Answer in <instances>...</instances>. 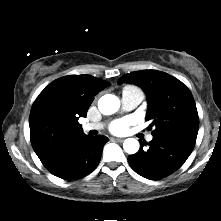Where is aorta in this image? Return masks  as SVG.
<instances>
[{
  "label": "aorta",
  "mask_w": 221,
  "mask_h": 221,
  "mask_svg": "<svg viewBox=\"0 0 221 221\" xmlns=\"http://www.w3.org/2000/svg\"><path fill=\"white\" fill-rule=\"evenodd\" d=\"M120 101L112 94L102 96L98 101V109L104 115H111L118 111ZM139 142L135 138H128L123 143V149L128 154H135L139 150Z\"/></svg>",
  "instance_id": "762f6f07"
}]
</instances>
